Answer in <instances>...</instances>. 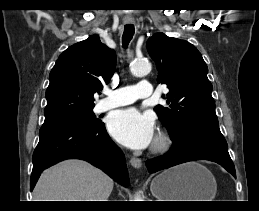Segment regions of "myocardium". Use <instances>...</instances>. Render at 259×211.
<instances>
[{
	"label": "myocardium",
	"instance_id": "obj_1",
	"mask_svg": "<svg viewBox=\"0 0 259 211\" xmlns=\"http://www.w3.org/2000/svg\"><path fill=\"white\" fill-rule=\"evenodd\" d=\"M170 144H171L170 136L167 133L162 132L156 137L152 146V151L163 152L169 148Z\"/></svg>",
	"mask_w": 259,
	"mask_h": 211
}]
</instances>
